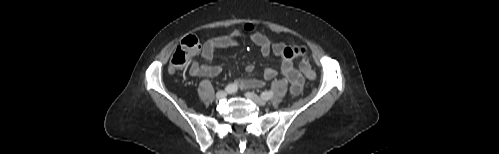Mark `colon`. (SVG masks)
<instances>
[{"label": "colon", "mask_w": 499, "mask_h": 154, "mask_svg": "<svg viewBox=\"0 0 499 154\" xmlns=\"http://www.w3.org/2000/svg\"><path fill=\"white\" fill-rule=\"evenodd\" d=\"M200 48L201 46L196 36H186L176 47L171 57V70L184 67L188 63L189 59L193 57L200 50ZM300 70L308 80H315L316 73L307 59H303L301 61Z\"/></svg>", "instance_id": "1"}]
</instances>
